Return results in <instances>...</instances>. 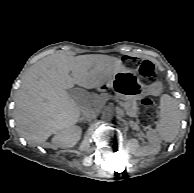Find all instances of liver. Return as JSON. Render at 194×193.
I'll list each match as a JSON object with an SVG mask.
<instances>
[{
	"mask_svg": "<svg viewBox=\"0 0 194 193\" xmlns=\"http://www.w3.org/2000/svg\"><path fill=\"white\" fill-rule=\"evenodd\" d=\"M123 69L120 59L102 54L55 53L39 60L25 73L16 94L18 132L31 146L51 147L47 139L81 116V106L67 90L75 85L99 88Z\"/></svg>",
	"mask_w": 194,
	"mask_h": 193,
	"instance_id": "1",
	"label": "liver"
}]
</instances>
